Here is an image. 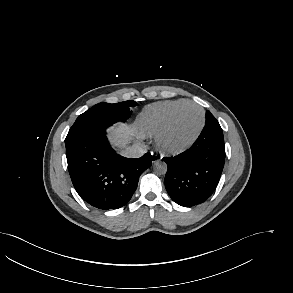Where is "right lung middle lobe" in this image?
Listing matches in <instances>:
<instances>
[{"instance_id":"dd1d6c3e","label":"right lung middle lobe","mask_w":293,"mask_h":293,"mask_svg":"<svg viewBox=\"0 0 293 293\" xmlns=\"http://www.w3.org/2000/svg\"><path fill=\"white\" fill-rule=\"evenodd\" d=\"M131 106H136V102L132 100L116 104L102 102L93 106L77 118L67 134L65 144L86 132L108 127L118 121H125L132 113L129 111Z\"/></svg>"}]
</instances>
